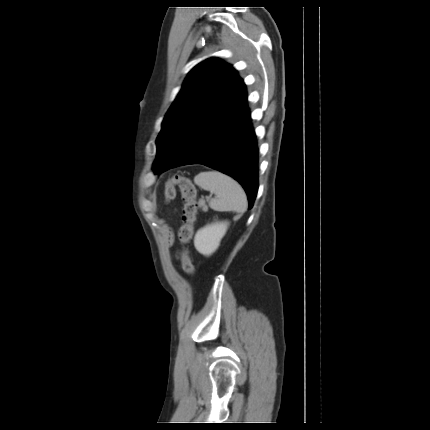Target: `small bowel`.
<instances>
[{"label": "small bowel", "mask_w": 430, "mask_h": 430, "mask_svg": "<svg viewBox=\"0 0 430 430\" xmlns=\"http://www.w3.org/2000/svg\"><path fill=\"white\" fill-rule=\"evenodd\" d=\"M166 242L168 246H172L174 243V234L171 231H168L166 234Z\"/></svg>", "instance_id": "obj_1"}]
</instances>
